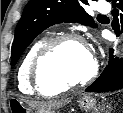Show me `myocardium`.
Masks as SVG:
<instances>
[{
    "label": "myocardium",
    "mask_w": 123,
    "mask_h": 113,
    "mask_svg": "<svg viewBox=\"0 0 123 113\" xmlns=\"http://www.w3.org/2000/svg\"><path fill=\"white\" fill-rule=\"evenodd\" d=\"M65 42H76L85 47V41L80 35L75 33H67L48 39L39 48L34 56L30 69L31 82L33 86L40 91H67L85 85L95 78L98 71V66L95 59L90 55L92 62L91 70L83 78L67 84H48L46 82L42 75L43 63L59 46Z\"/></svg>",
    "instance_id": "myocardium-1"
}]
</instances>
